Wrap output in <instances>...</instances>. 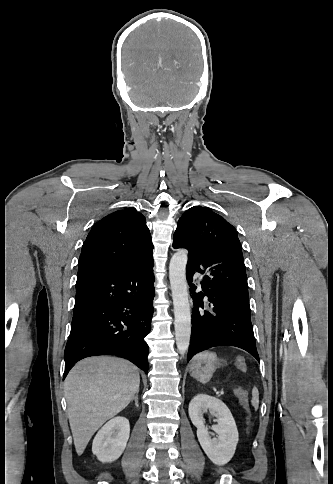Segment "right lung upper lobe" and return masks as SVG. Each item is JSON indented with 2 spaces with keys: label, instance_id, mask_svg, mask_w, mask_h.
I'll use <instances>...</instances> for the list:
<instances>
[{
  "label": "right lung upper lobe",
  "instance_id": "right-lung-upper-lobe-1",
  "mask_svg": "<svg viewBox=\"0 0 333 484\" xmlns=\"http://www.w3.org/2000/svg\"><path fill=\"white\" fill-rule=\"evenodd\" d=\"M145 217L133 208L113 212L92 227L81 251L78 274L131 269L152 260Z\"/></svg>",
  "mask_w": 333,
  "mask_h": 484
}]
</instances>
